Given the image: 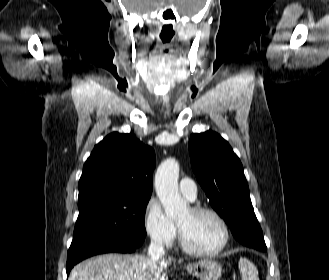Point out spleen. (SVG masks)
<instances>
[{
  "mask_svg": "<svg viewBox=\"0 0 329 280\" xmlns=\"http://www.w3.org/2000/svg\"><path fill=\"white\" fill-rule=\"evenodd\" d=\"M238 266L242 280H259L258 270L251 261L241 257Z\"/></svg>",
  "mask_w": 329,
  "mask_h": 280,
  "instance_id": "3e777b00",
  "label": "spleen"
}]
</instances>
